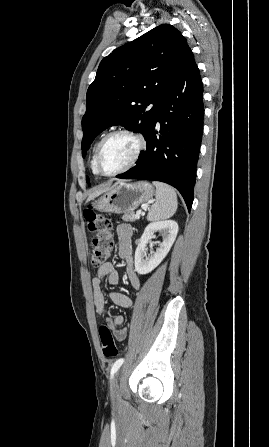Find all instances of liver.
<instances>
[{
    "mask_svg": "<svg viewBox=\"0 0 269 447\" xmlns=\"http://www.w3.org/2000/svg\"><path fill=\"white\" fill-rule=\"evenodd\" d=\"M115 186H117V184H115ZM112 188H114V186H112ZM109 190H111L109 186H105V184H102V186H100V188H97L95 192H92V194H88V200H93V198H97V196H100V194H103V192H109Z\"/></svg>",
    "mask_w": 269,
    "mask_h": 447,
    "instance_id": "6515ba94",
    "label": "liver"
}]
</instances>
